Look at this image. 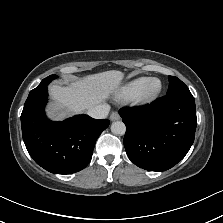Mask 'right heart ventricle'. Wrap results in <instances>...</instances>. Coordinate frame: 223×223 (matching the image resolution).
Returning <instances> with one entry per match:
<instances>
[{
    "mask_svg": "<svg viewBox=\"0 0 223 223\" xmlns=\"http://www.w3.org/2000/svg\"><path fill=\"white\" fill-rule=\"evenodd\" d=\"M143 80V77H138L123 85L118 91V99L121 101H127L131 99L138 91Z\"/></svg>",
    "mask_w": 223,
    "mask_h": 223,
    "instance_id": "1",
    "label": "right heart ventricle"
}]
</instances>
